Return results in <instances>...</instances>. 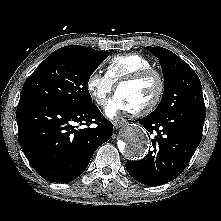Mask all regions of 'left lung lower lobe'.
Masks as SVG:
<instances>
[{"mask_svg":"<svg viewBox=\"0 0 221 221\" xmlns=\"http://www.w3.org/2000/svg\"><path fill=\"white\" fill-rule=\"evenodd\" d=\"M206 113L180 110L150 114L139 123L150 134L153 149L140 161L126 163L128 173L138 182L158 186L174 180L184 170L202 137Z\"/></svg>","mask_w":221,"mask_h":221,"instance_id":"obj_1","label":"left lung lower lobe"}]
</instances>
